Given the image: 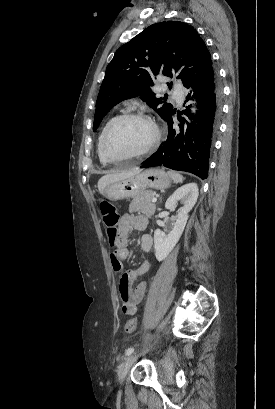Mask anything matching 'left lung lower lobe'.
Masks as SVG:
<instances>
[{
	"instance_id": "obj_1",
	"label": "left lung lower lobe",
	"mask_w": 275,
	"mask_h": 409,
	"mask_svg": "<svg viewBox=\"0 0 275 409\" xmlns=\"http://www.w3.org/2000/svg\"><path fill=\"white\" fill-rule=\"evenodd\" d=\"M185 87L193 88V97L198 100L195 121L188 124L187 128L180 125V130L176 131L173 129V109L165 119L169 132L166 141L141 168L163 165L173 170L190 172L204 180L208 177L212 140L218 131L222 114V85L217 70L211 65ZM193 97L189 94L185 103ZM190 107L187 106L182 114L189 116Z\"/></svg>"
}]
</instances>
